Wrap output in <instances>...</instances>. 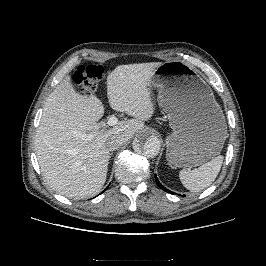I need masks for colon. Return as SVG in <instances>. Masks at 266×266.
Returning a JSON list of instances; mask_svg holds the SVG:
<instances>
[{"label":"colon","instance_id":"1","mask_svg":"<svg viewBox=\"0 0 266 266\" xmlns=\"http://www.w3.org/2000/svg\"><path fill=\"white\" fill-rule=\"evenodd\" d=\"M103 73V68L99 65H81L75 73L74 82L84 96H91L102 79Z\"/></svg>","mask_w":266,"mask_h":266}]
</instances>
